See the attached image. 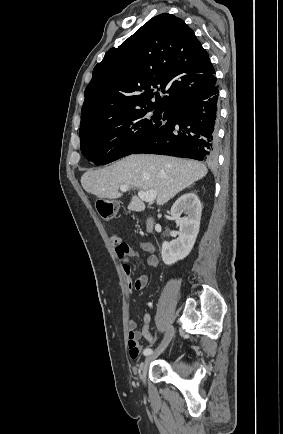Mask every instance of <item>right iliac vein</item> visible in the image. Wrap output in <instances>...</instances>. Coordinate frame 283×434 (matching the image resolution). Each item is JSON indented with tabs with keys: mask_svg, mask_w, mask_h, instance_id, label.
Masks as SVG:
<instances>
[{
	"mask_svg": "<svg viewBox=\"0 0 283 434\" xmlns=\"http://www.w3.org/2000/svg\"><path fill=\"white\" fill-rule=\"evenodd\" d=\"M174 335V328L173 326H169L166 334L164 336L163 341L161 342V344L155 349V351L150 354L144 361V363L141 365V371H142V375L141 378L143 380V382H145L146 380V374H147V370L149 367V364L159 355H161L164 350L167 348V346L169 345L172 337Z\"/></svg>",
	"mask_w": 283,
	"mask_h": 434,
	"instance_id": "1",
	"label": "right iliac vein"
}]
</instances>
